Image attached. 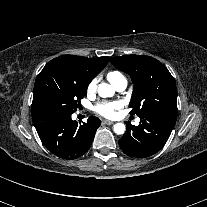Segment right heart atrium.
Segmentation results:
<instances>
[{
  "label": "right heart atrium",
  "mask_w": 207,
  "mask_h": 207,
  "mask_svg": "<svg viewBox=\"0 0 207 207\" xmlns=\"http://www.w3.org/2000/svg\"><path fill=\"white\" fill-rule=\"evenodd\" d=\"M96 84H97L96 79H93L88 83L87 88H86V91L88 94L94 93V91L96 90Z\"/></svg>",
  "instance_id": "1"
}]
</instances>
